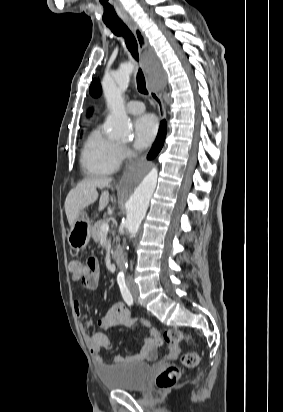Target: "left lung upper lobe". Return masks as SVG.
<instances>
[{"instance_id": "left-lung-upper-lobe-1", "label": "left lung upper lobe", "mask_w": 283, "mask_h": 412, "mask_svg": "<svg viewBox=\"0 0 283 412\" xmlns=\"http://www.w3.org/2000/svg\"><path fill=\"white\" fill-rule=\"evenodd\" d=\"M101 93L100 85L97 81H93L92 85L90 86V94L94 97L99 96Z\"/></svg>"}]
</instances>
